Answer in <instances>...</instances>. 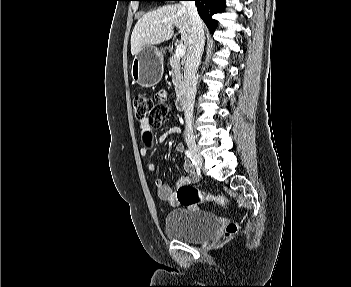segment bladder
<instances>
[{
  "label": "bladder",
  "instance_id": "1",
  "mask_svg": "<svg viewBox=\"0 0 351 287\" xmlns=\"http://www.w3.org/2000/svg\"><path fill=\"white\" fill-rule=\"evenodd\" d=\"M218 226V217L206 210L175 209L165 219L166 235L188 243H200L212 238Z\"/></svg>",
  "mask_w": 351,
  "mask_h": 287
}]
</instances>
